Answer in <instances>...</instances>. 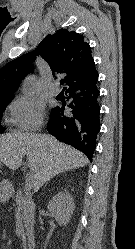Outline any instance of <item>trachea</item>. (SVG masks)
<instances>
[{
    "label": "trachea",
    "instance_id": "trachea-1",
    "mask_svg": "<svg viewBox=\"0 0 135 249\" xmlns=\"http://www.w3.org/2000/svg\"><path fill=\"white\" fill-rule=\"evenodd\" d=\"M60 84H64V80H61V81H60Z\"/></svg>",
    "mask_w": 135,
    "mask_h": 249
}]
</instances>
